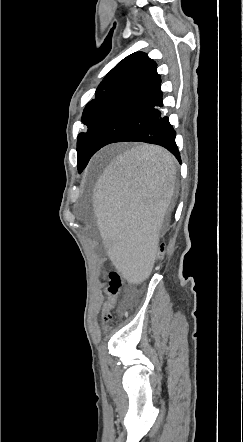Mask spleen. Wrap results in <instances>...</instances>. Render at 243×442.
I'll use <instances>...</instances> for the list:
<instances>
[{
  "label": "spleen",
  "mask_w": 243,
  "mask_h": 442,
  "mask_svg": "<svg viewBox=\"0 0 243 442\" xmlns=\"http://www.w3.org/2000/svg\"><path fill=\"white\" fill-rule=\"evenodd\" d=\"M175 173L174 161L164 149L141 145L119 155L102 173L95 193L93 226L108 231V256L116 268H124L128 285L138 286L147 274L152 252L157 250L158 227L169 212V183Z\"/></svg>",
  "instance_id": "spleen-1"
}]
</instances>
